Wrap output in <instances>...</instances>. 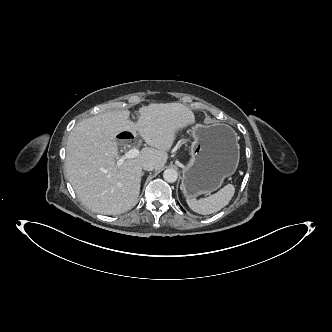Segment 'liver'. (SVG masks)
Segmentation results:
<instances>
[{
	"label": "liver",
	"mask_w": 332,
	"mask_h": 332,
	"mask_svg": "<svg viewBox=\"0 0 332 332\" xmlns=\"http://www.w3.org/2000/svg\"><path fill=\"white\" fill-rule=\"evenodd\" d=\"M137 123L128 110H113L82 120L69 134L65 168L68 179L89 209L105 215L130 210L140 194L142 164L153 161L160 170L179 130L195 123L193 112L181 103H152L139 109ZM138 131L150 147L117 166L116 136Z\"/></svg>",
	"instance_id": "liver-1"
}]
</instances>
